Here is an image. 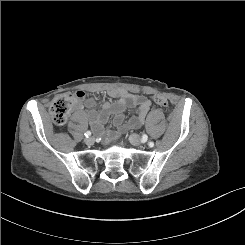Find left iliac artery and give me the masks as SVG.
Segmentation results:
<instances>
[{"label": "left iliac artery", "instance_id": "1", "mask_svg": "<svg viewBox=\"0 0 245 245\" xmlns=\"http://www.w3.org/2000/svg\"><path fill=\"white\" fill-rule=\"evenodd\" d=\"M146 140H147V136L146 135H143L142 141L145 142ZM148 145H149V147H153L154 146V143L153 142H149Z\"/></svg>", "mask_w": 245, "mask_h": 245}]
</instances>
